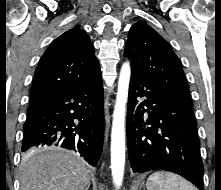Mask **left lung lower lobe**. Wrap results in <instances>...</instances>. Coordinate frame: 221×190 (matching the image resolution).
<instances>
[{"label": "left lung lower lobe", "mask_w": 221, "mask_h": 190, "mask_svg": "<svg viewBox=\"0 0 221 190\" xmlns=\"http://www.w3.org/2000/svg\"><path fill=\"white\" fill-rule=\"evenodd\" d=\"M127 140L133 172H174L204 190V167L193 106L182 103L157 83L133 72Z\"/></svg>", "instance_id": "0a47b994"}]
</instances>
